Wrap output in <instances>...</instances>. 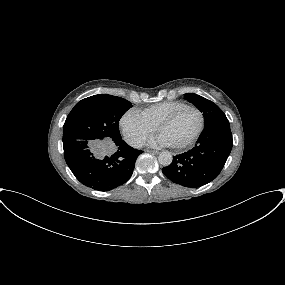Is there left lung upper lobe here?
<instances>
[{"label":"left lung upper lobe","instance_id":"1","mask_svg":"<svg viewBox=\"0 0 285 285\" xmlns=\"http://www.w3.org/2000/svg\"><path fill=\"white\" fill-rule=\"evenodd\" d=\"M185 99L193 103L203 113L205 125L211 122L228 120L223 111L215 103L202 96L187 93L185 94Z\"/></svg>","mask_w":285,"mask_h":285}]
</instances>
